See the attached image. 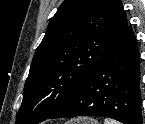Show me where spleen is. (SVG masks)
I'll list each match as a JSON object with an SVG mask.
<instances>
[{
  "mask_svg": "<svg viewBox=\"0 0 145 124\" xmlns=\"http://www.w3.org/2000/svg\"><path fill=\"white\" fill-rule=\"evenodd\" d=\"M104 124H119L118 122L114 121V120H110V119H105Z\"/></svg>",
  "mask_w": 145,
  "mask_h": 124,
  "instance_id": "obj_1",
  "label": "spleen"
}]
</instances>
